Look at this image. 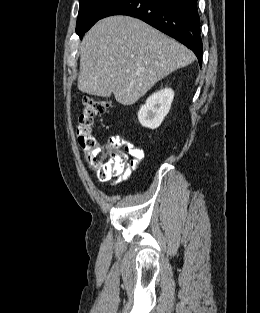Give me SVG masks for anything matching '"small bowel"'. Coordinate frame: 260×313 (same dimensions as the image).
Returning <instances> with one entry per match:
<instances>
[{"instance_id": "small-bowel-1", "label": "small bowel", "mask_w": 260, "mask_h": 313, "mask_svg": "<svg viewBox=\"0 0 260 313\" xmlns=\"http://www.w3.org/2000/svg\"><path fill=\"white\" fill-rule=\"evenodd\" d=\"M131 153L134 156V161H133L134 165H137L138 162L143 159V156H144L143 151L140 149L132 148ZM126 180H127V176H125L123 179L116 180L111 185H116Z\"/></svg>"}]
</instances>
